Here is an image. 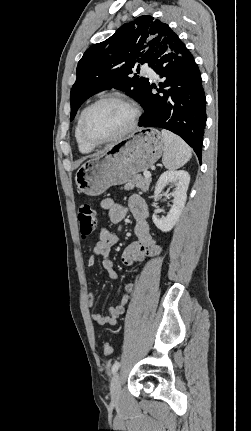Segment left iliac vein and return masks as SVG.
<instances>
[{"instance_id":"4c4485c4","label":"left iliac vein","mask_w":251,"mask_h":431,"mask_svg":"<svg viewBox=\"0 0 251 431\" xmlns=\"http://www.w3.org/2000/svg\"><path fill=\"white\" fill-rule=\"evenodd\" d=\"M111 397L114 401H118L121 395V376L120 373H115L110 385Z\"/></svg>"}]
</instances>
